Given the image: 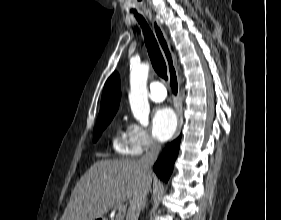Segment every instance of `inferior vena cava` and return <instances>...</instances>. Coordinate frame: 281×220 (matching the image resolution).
<instances>
[{
    "mask_svg": "<svg viewBox=\"0 0 281 220\" xmlns=\"http://www.w3.org/2000/svg\"><path fill=\"white\" fill-rule=\"evenodd\" d=\"M161 146L158 142H153L138 163L143 171V179L132 196L130 206L128 208L126 220H138L140 211L145 204L146 196L151 186L152 165L154 164L160 152Z\"/></svg>",
    "mask_w": 281,
    "mask_h": 220,
    "instance_id": "obj_1",
    "label": "inferior vena cava"
}]
</instances>
